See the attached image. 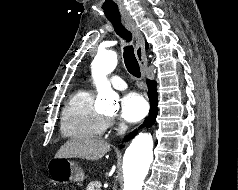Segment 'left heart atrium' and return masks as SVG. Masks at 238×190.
Listing matches in <instances>:
<instances>
[{"label":"left heart atrium","instance_id":"39dd6f15","mask_svg":"<svg viewBox=\"0 0 238 190\" xmlns=\"http://www.w3.org/2000/svg\"><path fill=\"white\" fill-rule=\"evenodd\" d=\"M148 112L146 100L138 93L131 92L121 99L120 117L130 123L143 119Z\"/></svg>","mask_w":238,"mask_h":190}]
</instances>
